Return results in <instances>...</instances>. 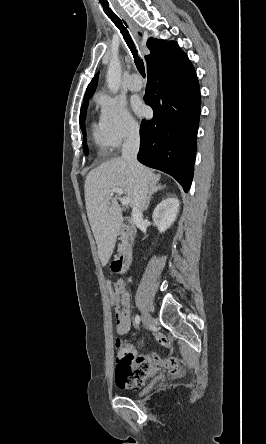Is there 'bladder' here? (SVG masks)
<instances>
[{"label": "bladder", "instance_id": "1", "mask_svg": "<svg viewBox=\"0 0 266 444\" xmlns=\"http://www.w3.org/2000/svg\"><path fill=\"white\" fill-rule=\"evenodd\" d=\"M146 391V389H144V390H142V391H140V392H138V393H136V394H142V393H144Z\"/></svg>", "mask_w": 266, "mask_h": 444}]
</instances>
